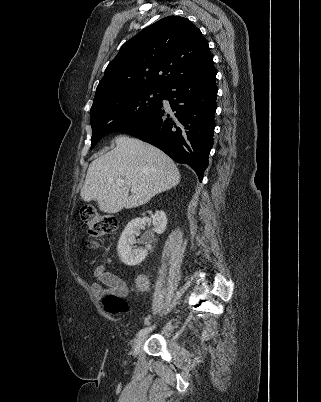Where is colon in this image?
Listing matches in <instances>:
<instances>
[{
	"label": "colon",
	"mask_w": 321,
	"mask_h": 402,
	"mask_svg": "<svg viewBox=\"0 0 321 402\" xmlns=\"http://www.w3.org/2000/svg\"><path fill=\"white\" fill-rule=\"evenodd\" d=\"M79 217L87 227L90 245H94L96 240L114 234L118 229L116 217L101 213L94 207L80 209ZM104 304L106 310L111 314H123L128 311L127 302L121 296L108 295L104 300Z\"/></svg>",
	"instance_id": "colon-1"
}]
</instances>
